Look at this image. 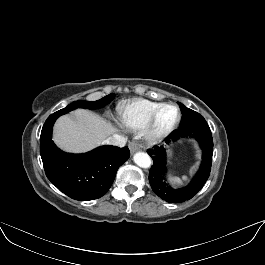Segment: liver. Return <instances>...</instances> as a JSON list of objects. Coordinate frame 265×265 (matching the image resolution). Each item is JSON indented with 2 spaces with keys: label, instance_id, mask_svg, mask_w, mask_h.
<instances>
[{
  "label": "liver",
  "instance_id": "obj_1",
  "mask_svg": "<svg viewBox=\"0 0 265 265\" xmlns=\"http://www.w3.org/2000/svg\"><path fill=\"white\" fill-rule=\"evenodd\" d=\"M116 131L99 115L79 109L73 116H62L57 120L53 140L64 151L82 153L103 143Z\"/></svg>",
  "mask_w": 265,
  "mask_h": 265
}]
</instances>
